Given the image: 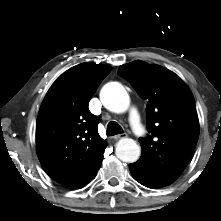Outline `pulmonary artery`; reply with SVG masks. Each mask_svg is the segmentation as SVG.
<instances>
[{
  "label": "pulmonary artery",
  "mask_w": 221,
  "mask_h": 221,
  "mask_svg": "<svg viewBox=\"0 0 221 221\" xmlns=\"http://www.w3.org/2000/svg\"><path fill=\"white\" fill-rule=\"evenodd\" d=\"M131 125L136 134L140 135L142 133V128L139 121V116L136 110H132L130 114Z\"/></svg>",
  "instance_id": "1"
}]
</instances>
